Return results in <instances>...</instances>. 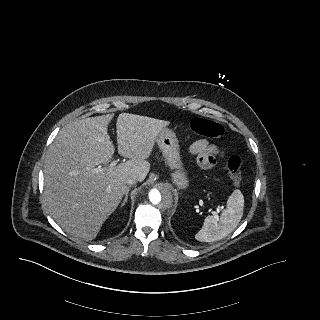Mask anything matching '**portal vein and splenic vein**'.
I'll return each instance as SVG.
<instances>
[{
  "instance_id": "1",
  "label": "portal vein and splenic vein",
  "mask_w": 320,
  "mask_h": 320,
  "mask_svg": "<svg viewBox=\"0 0 320 320\" xmlns=\"http://www.w3.org/2000/svg\"><path fill=\"white\" fill-rule=\"evenodd\" d=\"M118 161H119V160H114V161H112V162L110 163V167L116 166V164H117ZM103 171H104V168H101L100 166L93 169V172H94V173H100V172H103ZM209 212H211L213 215H216V216H217V214L219 213V211L215 212V211H213L212 209H209Z\"/></svg>"
}]
</instances>
